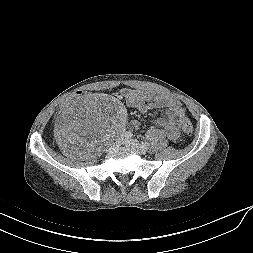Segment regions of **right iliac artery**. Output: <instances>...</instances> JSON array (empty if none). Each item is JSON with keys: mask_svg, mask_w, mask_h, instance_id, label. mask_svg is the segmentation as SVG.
<instances>
[{"mask_svg": "<svg viewBox=\"0 0 253 253\" xmlns=\"http://www.w3.org/2000/svg\"><path fill=\"white\" fill-rule=\"evenodd\" d=\"M123 136L127 139L131 138L132 137V133L130 131H127L123 134Z\"/></svg>", "mask_w": 253, "mask_h": 253, "instance_id": "1", "label": "right iliac artery"}]
</instances>
